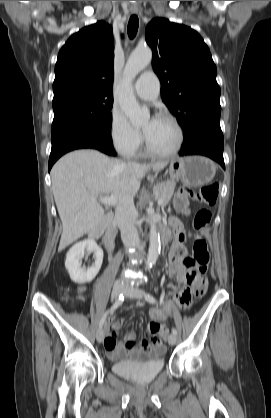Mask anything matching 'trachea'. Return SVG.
I'll use <instances>...</instances> for the list:
<instances>
[{"label": "trachea", "instance_id": "3493384b", "mask_svg": "<svg viewBox=\"0 0 271 418\" xmlns=\"http://www.w3.org/2000/svg\"><path fill=\"white\" fill-rule=\"evenodd\" d=\"M139 26V20L136 15H132L130 17L129 23H128V36L130 39H133L137 33Z\"/></svg>", "mask_w": 271, "mask_h": 418}]
</instances>
